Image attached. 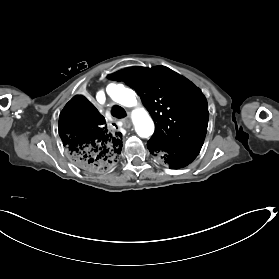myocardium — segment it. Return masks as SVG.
I'll return each mask as SVG.
<instances>
[{
    "label": "myocardium",
    "mask_w": 279,
    "mask_h": 279,
    "mask_svg": "<svg viewBox=\"0 0 279 279\" xmlns=\"http://www.w3.org/2000/svg\"><path fill=\"white\" fill-rule=\"evenodd\" d=\"M85 76H88V73H87ZM91 77H93V75H92ZM131 104H133V105L142 104V100L140 99L139 96L135 95V97H134L133 100L131 101ZM105 131H107V129H105Z\"/></svg>",
    "instance_id": "f54148a6"
}]
</instances>
